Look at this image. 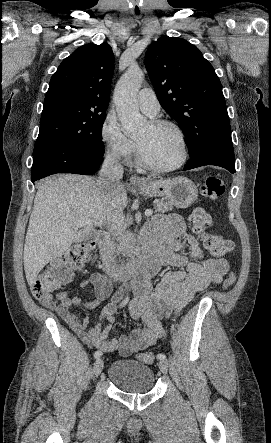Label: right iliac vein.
I'll return each mask as SVG.
<instances>
[{"mask_svg": "<svg viewBox=\"0 0 271 443\" xmlns=\"http://www.w3.org/2000/svg\"><path fill=\"white\" fill-rule=\"evenodd\" d=\"M103 367H104V361H103V359L98 358V359L95 361V363H94L93 375H94L95 377H98V376L101 374V372H102V370H103Z\"/></svg>", "mask_w": 271, "mask_h": 443, "instance_id": "obj_1", "label": "right iliac vein"}]
</instances>
